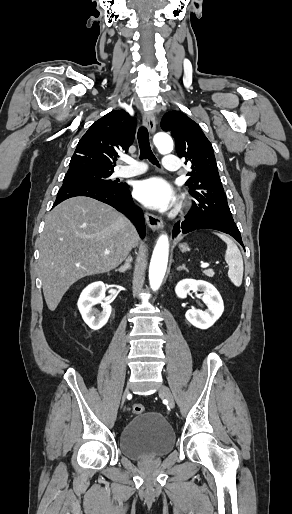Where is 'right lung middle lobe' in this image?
I'll return each instance as SVG.
<instances>
[{
  "label": "right lung middle lobe",
  "mask_w": 292,
  "mask_h": 514,
  "mask_svg": "<svg viewBox=\"0 0 292 514\" xmlns=\"http://www.w3.org/2000/svg\"><path fill=\"white\" fill-rule=\"evenodd\" d=\"M113 171L105 172H67L63 184H91L107 188H117L123 183H117L110 179Z\"/></svg>",
  "instance_id": "dd1d6c3e"
}]
</instances>
